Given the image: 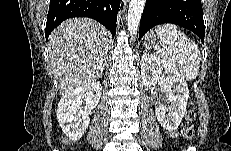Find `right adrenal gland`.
Here are the masks:
<instances>
[{
	"label": "right adrenal gland",
	"instance_id": "1",
	"mask_svg": "<svg viewBox=\"0 0 231 151\" xmlns=\"http://www.w3.org/2000/svg\"><path fill=\"white\" fill-rule=\"evenodd\" d=\"M107 65H108V57H106L104 66H107Z\"/></svg>",
	"mask_w": 231,
	"mask_h": 151
}]
</instances>
